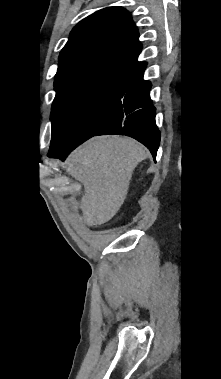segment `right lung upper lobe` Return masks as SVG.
Here are the masks:
<instances>
[{
    "label": "right lung upper lobe",
    "instance_id": "1",
    "mask_svg": "<svg viewBox=\"0 0 221 379\" xmlns=\"http://www.w3.org/2000/svg\"><path fill=\"white\" fill-rule=\"evenodd\" d=\"M130 14L122 7L101 9L80 21L59 56L56 93L100 78L123 80L146 65Z\"/></svg>",
    "mask_w": 221,
    "mask_h": 379
}]
</instances>
